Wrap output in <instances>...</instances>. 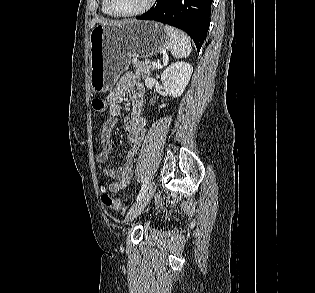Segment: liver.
Listing matches in <instances>:
<instances>
[{
  "label": "liver",
  "instance_id": "obj_1",
  "mask_svg": "<svg viewBox=\"0 0 315 293\" xmlns=\"http://www.w3.org/2000/svg\"><path fill=\"white\" fill-rule=\"evenodd\" d=\"M96 23L102 24V25H107V24H119L121 22H117V21H107V20H103V19H99V18H94L90 24V27L93 28L95 26Z\"/></svg>",
  "mask_w": 315,
  "mask_h": 293
}]
</instances>
